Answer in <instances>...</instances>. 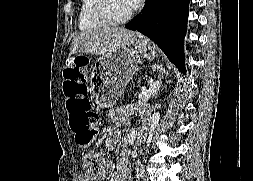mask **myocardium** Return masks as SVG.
<instances>
[{
	"label": "myocardium",
	"instance_id": "1",
	"mask_svg": "<svg viewBox=\"0 0 253 181\" xmlns=\"http://www.w3.org/2000/svg\"><path fill=\"white\" fill-rule=\"evenodd\" d=\"M107 5L108 0H94L92 8L93 16L95 17V19L105 26L122 25L129 21L134 14V10H131L124 17L115 19L109 14Z\"/></svg>",
	"mask_w": 253,
	"mask_h": 181
}]
</instances>
